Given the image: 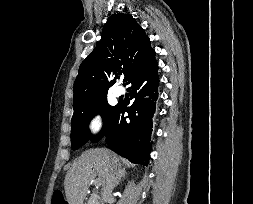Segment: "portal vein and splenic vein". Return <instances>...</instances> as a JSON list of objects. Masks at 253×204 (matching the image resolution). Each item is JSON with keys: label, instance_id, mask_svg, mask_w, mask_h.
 I'll return each mask as SVG.
<instances>
[{"label": "portal vein and splenic vein", "instance_id": "1", "mask_svg": "<svg viewBox=\"0 0 253 204\" xmlns=\"http://www.w3.org/2000/svg\"><path fill=\"white\" fill-rule=\"evenodd\" d=\"M95 184H96L97 186H100V185H101V181L97 179V180L95 181Z\"/></svg>", "mask_w": 253, "mask_h": 204}]
</instances>
